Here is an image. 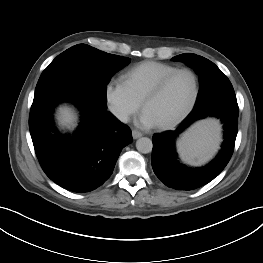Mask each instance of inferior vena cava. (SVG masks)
I'll return each mask as SVG.
<instances>
[{
	"label": "inferior vena cava",
	"instance_id": "inferior-vena-cava-1",
	"mask_svg": "<svg viewBox=\"0 0 263 263\" xmlns=\"http://www.w3.org/2000/svg\"><path fill=\"white\" fill-rule=\"evenodd\" d=\"M116 116H117V118L120 120V121H122V122H124V123H127L128 122V120H129V117H128V114L126 113V112H117L116 113Z\"/></svg>",
	"mask_w": 263,
	"mask_h": 263
}]
</instances>
